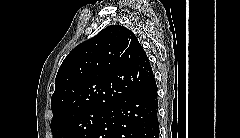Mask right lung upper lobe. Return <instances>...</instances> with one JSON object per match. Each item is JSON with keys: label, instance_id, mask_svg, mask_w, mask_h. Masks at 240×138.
Here are the masks:
<instances>
[{"label": "right lung upper lobe", "instance_id": "1", "mask_svg": "<svg viewBox=\"0 0 240 138\" xmlns=\"http://www.w3.org/2000/svg\"><path fill=\"white\" fill-rule=\"evenodd\" d=\"M153 79L149 59L134 33L111 25L64 59L51 98V122L90 108L108 109Z\"/></svg>", "mask_w": 240, "mask_h": 138}]
</instances>
